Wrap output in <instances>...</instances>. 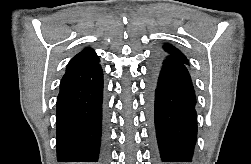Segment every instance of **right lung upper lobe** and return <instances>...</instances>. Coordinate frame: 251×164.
<instances>
[{"instance_id": "cb5924a9", "label": "right lung upper lobe", "mask_w": 251, "mask_h": 164, "mask_svg": "<svg viewBox=\"0 0 251 164\" xmlns=\"http://www.w3.org/2000/svg\"><path fill=\"white\" fill-rule=\"evenodd\" d=\"M99 62V58L96 55L95 51L91 48H86L79 52L68 64L66 72L89 66L94 65Z\"/></svg>"}]
</instances>
